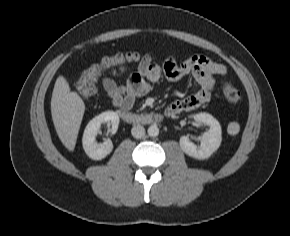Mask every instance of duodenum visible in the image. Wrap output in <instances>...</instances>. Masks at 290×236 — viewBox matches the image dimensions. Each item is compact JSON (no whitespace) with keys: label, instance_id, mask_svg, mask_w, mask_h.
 <instances>
[{"label":"duodenum","instance_id":"duodenum-1","mask_svg":"<svg viewBox=\"0 0 290 236\" xmlns=\"http://www.w3.org/2000/svg\"><path fill=\"white\" fill-rule=\"evenodd\" d=\"M121 118L131 124H153L160 123L163 120L162 115L158 113H135L129 111H119Z\"/></svg>","mask_w":290,"mask_h":236}]
</instances>
